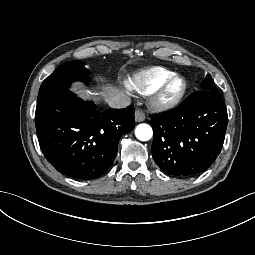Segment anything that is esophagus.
I'll return each instance as SVG.
<instances>
[{
    "mask_svg": "<svg viewBox=\"0 0 255 255\" xmlns=\"http://www.w3.org/2000/svg\"><path fill=\"white\" fill-rule=\"evenodd\" d=\"M145 118H146L145 114H144V112L142 110L137 109L135 111V120H136V122H142V121L145 120Z\"/></svg>",
    "mask_w": 255,
    "mask_h": 255,
    "instance_id": "1",
    "label": "esophagus"
}]
</instances>
